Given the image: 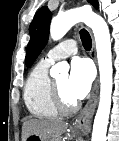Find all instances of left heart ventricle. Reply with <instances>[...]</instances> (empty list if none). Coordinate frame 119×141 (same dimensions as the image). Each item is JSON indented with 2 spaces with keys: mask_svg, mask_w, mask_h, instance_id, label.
<instances>
[{
  "mask_svg": "<svg viewBox=\"0 0 119 141\" xmlns=\"http://www.w3.org/2000/svg\"><path fill=\"white\" fill-rule=\"evenodd\" d=\"M55 81L57 83L58 89L60 91L63 100L68 104L74 103L75 100L67 92V81H68L67 75L60 76Z\"/></svg>",
  "mask_w": 119,
  "mask_h": 141,
  "instance_id": "left-heart-ventricle-1",
  "label": "left heart ventricle"
}]
</instances>
